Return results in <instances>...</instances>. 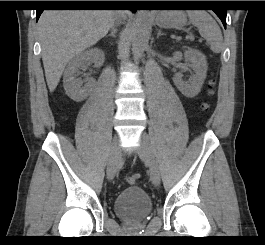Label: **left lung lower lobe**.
Returning <instances> with one entry per match:
<instances>
[{
    "instance_id": "1",
    "label": "left lung lower lobe",
    "mask_w": 265,
    "mask_h": 245,
    "mask_svg": "<svg viewBox=\"0 0 265 245\" xmlns=\"http://www.w3.org/2000/svg\"><path fill=\"white\" fill-rule=\"evenodd\" d=\"M166 5H170V6H179V7H183V6H196L199 4V1H168L165 2ZM216 15L221 19L223 25L226 27V9H214L213 10Z\"/></svg>"
}]
</instances>
